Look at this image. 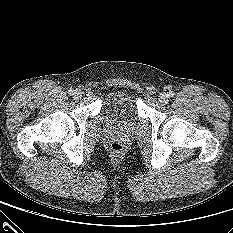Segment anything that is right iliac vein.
I'll return each mask as SVG.
<instances>
[{"instance_id":"right-iliac-vein-1","label":"right iliac vein","mask_w":233,"mask_h":233,"mask_svg":"<svg viewBox=\"0 0 233 233\" xmlns=\"http://www.w3.org/2000/svg\"><path fill=\"white\" fill-rule=\"evenodd\" d=\"M73 96H74V98H76V99H80V98L82 97V92H81V90H75V91L73 92Z\"/></svg>"}]
</instances>
